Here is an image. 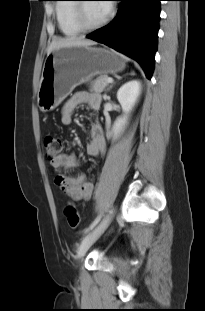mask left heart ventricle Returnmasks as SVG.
<instances>
[{
	"label": "left heart ventricle",
	"mask_w": 205,
	"mask_h": 311,
	"mask_svg": "<svg viewBox=\"0 0 205 311\" xmlns=\"http://www.w3.org/2000/svg\"><path fill=\"white\" fill-rule=\"evenodd\" d=\"M84 16L86 22L90 25H95L101 22L107 15L103 4L98 1H87L84 3Z\"/></svg>",
	"instance_id": "b2bd125f"
}]
</instances>
